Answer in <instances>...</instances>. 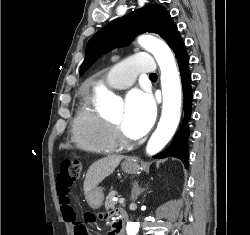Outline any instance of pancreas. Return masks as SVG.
<instances>
[{"mask_svg": "<svg viewBox=\"0 0 250 235\" xmlns=\"http://www.w3.org/2000/svg\"><path fill=\"white\" fill-rule=\"evenodd\" d=\"M117 195L116 191H111L108 196L106 197L105 201V207L106 208H114L115 207V202L112 200L114 196Z\"/></svg>", "mask_w": 250, "mask_h": 235, "instance_id": "1", "label": "pancreas"}]
</instances>
